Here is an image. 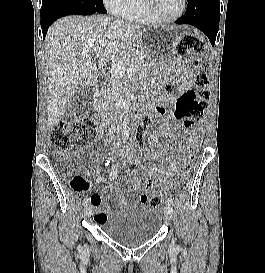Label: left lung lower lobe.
I'll return each mask as SVG.
<instances>
[{
  "label": "left lung lower lobe",
  "mask_w": 265,
  "mask_h": 273,
  "mask_svg": "<svg viewBox=\"0 0 265 273\" xmlns=\"http://www.w3.org/2000/svg\"><path fill=\"white\" fill-rule=\"evenodd\" d=\"M219 0H188L187 10L177 24H189L203 31L212 45L219 29Z\"/></svg>",
  "instance_id": "1"
}]
</instances>
